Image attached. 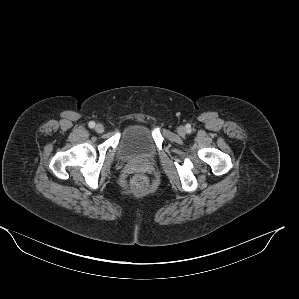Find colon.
Wrapping results in <instances>:
<instances>
[{
	"mask_svg": "<svg viewBox=\"0 0 299 299\" xmlns=\"http://www.w3.org/2000/svg\"><path fill=\"white\" fill-rule=\"evenodd\" d=\"M131 184L136 190H144L148 186V179L143 174H138L132 178Z\"/></svg>",
	"mask_w": 299,
	"mask_h": 299,
	"instance_id": "colon-1",
	"label": "colon"
}]
</instances>
